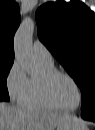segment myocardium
<instances>
[{
  "label": "myocardium",
  "instance_id": "myocardium-1",
  "mask_svg": "<svg viewBox=\"0 0 95 130\" xmlns=\"http://www.w3.org/2000/svg\"><path fill=\"white\" fill-rule=\"evenodd\" d=\"M59 77H65L69 79L76 86L79 93V102L76 107L74 108L63 107L54 99L53 94H52V85L54 81ZM40 83H41V88H42V92L45 99L56 109L65 111V112H74V111H77L82 106L83 100H84L83 90L80 84L78 83V81L74 77H72L70 74L63 71H59V70L45 72L43 77L40 79Z\"/></svg>",
  "mask_w": 95,
  "mask_h": 130
}]
</instances>
